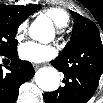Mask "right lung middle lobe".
Returning a JSON list of instances; mask_svg holds the SVG:
<instances>
[{"instance_id": "1", "label": "right lung middle lobe", "mask_w": 103, "mask_h": 103, "mask_svg": "<svg viewBox=\"0 0 103 103\" xmlns=\"http://www.w3.org/2000/svg\"><path fill=\"white\" fill-rule=\"evenodd\" d=\"M40 9V6H38ZM25 20L0 9V55H8L17 51L15 35L18 26Z\"/></svg>"}]
</instances>
